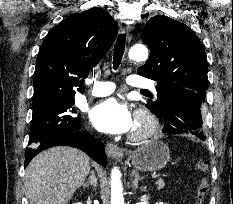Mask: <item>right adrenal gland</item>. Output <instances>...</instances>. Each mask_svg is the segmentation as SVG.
Wrapping results in <instances>:
<instances>
[{
  "mask_svg": "<svg viewBox=\"0 0 233 204\" xmlns=\"http://www.w3.org/2000/svg\"><path fill=\"white\" fill-rule=\"evenodd\" d=\"M89 185L94 187V189H96V187H97V178L95 177L94 171H91V175L89 177V180L83 185V187H88Z\"/></svg>",
  "mask_w": 233,
  "mask_h": 204,
  "instance_id": "right-adrenal-gland-1",
  "label": "right adrenal gland"
}]
</instances>
